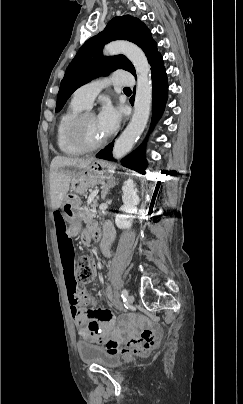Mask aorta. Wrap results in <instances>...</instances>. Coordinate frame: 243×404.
<instances>
[{
	"label": "aorta",
	"mask_w": 243,
	"mask_h": 404,
	"mask_svg": "<svg viewBox=\"0 0 243 404\" xmlns=\"http://www.w3.org/2000/svg\"><path fill=\"white\" fill-rule=\"evenodd\" d=\"M103 54L105 56L124 54L132 62L137 74L134 114L113 148L114 158L120 160L128 152H131L135 142L139 140L146 128L152 102L151 70L144 52L136 44H131V42H124V40L111 42V44L105 46Z\"/></svg>",
	"instance_id": "762f6f07"
}]
</instances>
